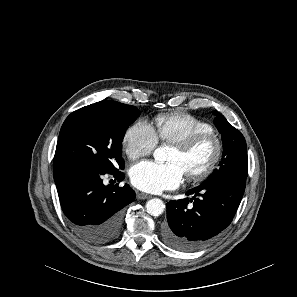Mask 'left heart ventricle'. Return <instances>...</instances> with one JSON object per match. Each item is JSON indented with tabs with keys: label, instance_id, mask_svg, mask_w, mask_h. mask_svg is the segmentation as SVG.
Here are the masks:
<instances>
[{
	"label": "left heart ventricle",
	"instance_id": "b2bd125f",
	"mask_svg": "<svg viewBox=\"0 0 297 297\" xmlns=\"http://www.w3.org/2000/svg\"><path fill=\"white\" fill-rule=\"evenodd\" d=\"M216 146L213 140L209 139L193 150L184 153L179 149L172 147L168 155L169 162H175L181 165L185 175L195 174L202 171L213 159Z\"/></svg>",
	"mask_w": 297,
	"mask_h": 297
}]
</instances>
